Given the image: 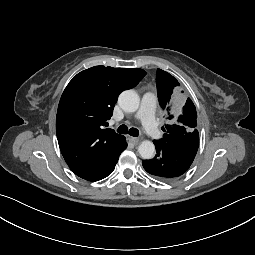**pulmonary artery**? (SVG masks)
<instances>
[{"label": "pulmonary artery", "mask_w": 255, "mask_h": 255, "mask_svg": "<svg viewBox=\"0 0 255 255\" xmlns=\"http://www.w3.org/2000/svg\"><path fill=\"white\" fill-rule=\"evenodd\" d=\"M155 96L152 93L144 94L136 117L141 121L146 132L153 138L160 136V131L155 121Z\"/></svg>", "instance_id": "e3ab8cb5"}]
</instances>
